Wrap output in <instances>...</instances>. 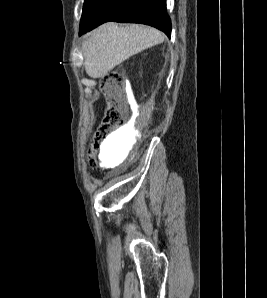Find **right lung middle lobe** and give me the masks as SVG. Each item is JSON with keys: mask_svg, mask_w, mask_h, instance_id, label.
<instances>
[{"mask_svg": "<svg viewBox=\"0 0 267 298\" xmlns=\"http://www.w3.org/2000/svg\"><path fill=\"white\" fill-rule=\"evenodd\" d=\"M104 2L105 0H85L81 23H86L89 21Z\"/></svg>", "mask_w": 267, "mask_h": 298, "instance_id": "right-lung-middle-lobe-1", "label": "right lung middle lobe"}]
</instances>
